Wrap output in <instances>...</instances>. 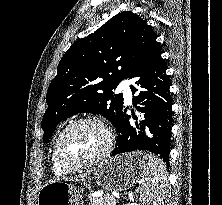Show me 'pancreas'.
Listing matches in <instances>:
<instances>
[{"label": "pancreas", "mask_w": 222, "mask_h": 205, "mask_svg": "<svg viewBox=\"0 0 222 205\" xmlns=\"http://www.w3.org/2000/svg\"><path fill=\"white\" fill-rule=\"evenodd\" d=\"M90 203L88 205H115L117 201L113 196L106 195L100 198H89Z\"/></svg>", "instance_id": "pancreas-1"}]
</instances>
